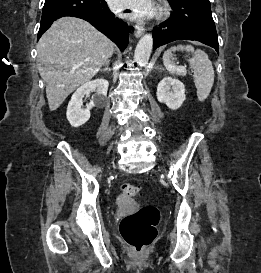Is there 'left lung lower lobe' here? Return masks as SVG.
Instances as JSON below:
<instances>
[{"label": "left lung lower lobe", "instance_id": "left-lung-lower-lobe-1", "mask_svg": "<svg viewBox=\"0 0 261 273\" xmlns=\"http://www.w3.org/2000/svg\"><path fill=\"white\" fill-rule=\"evenodd\" d=\"M169 3L173 13L153 30V49L175 40H197L218 52L209 0H169Z\"/></svg>", "mask_w": 261, "mask_h": 273}]
</instances>
